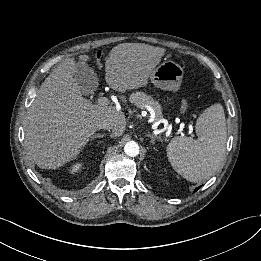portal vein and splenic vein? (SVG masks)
Listing matches in <instances>:
<instances>
[{
    "label": "portal vein and splenic vein",
    "instance_id": "portal-vein-and-splenic-vein-1",
    "mask_svg": "<svg viewBox=\"0 0 261 261\" xmlns=\"http://www.w3.org/2000/svg\"><path fill=\"white\" fill-rule=\"evenodd\" d=\"M97 101H98V104L102 105V106L109 105V103H110V100L106 97H100ZM149 109L153 111V109L151 107H149ZM152 121H154V116H152L149 119V122H152Z\"/></svg>",
    "mask_w": 261,
    "mask_h": 261
}]
</instances>
